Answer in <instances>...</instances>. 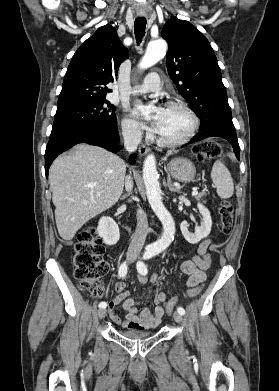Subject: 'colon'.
Masks as SVG:
<instances>
[{"mask_svg":"<svg viewBox=\"0 0 279 391\" xmlns=\"http://www.w3.org/2000/svg\"><path fill=\"white\" fill-rule=\"evenodd\" d=\"M193 152L198 161H208L223 154L221 144L214 141L202 142L193 148ZM218 212L221 220V229L225 235H229L234 224L233 206L228 200L220 202ZM104 246L102 240L97 235L95 228H88L79 233L75 244L72 264L74 267V276L79 286L91 292L95 297L101 295V288L97 285L99 277L108 269V264L103 259ZM204 260L211 263L209 253L204 254ZM200 293L199 286H193L187 289L185 296L194 297ZM178 298L174 297L167 302L166 311L171 314Z\"/></svg>","mask_w":279,"mask_h":391,"instance_id":"colon-1","label":"colon"}]
</instances>
